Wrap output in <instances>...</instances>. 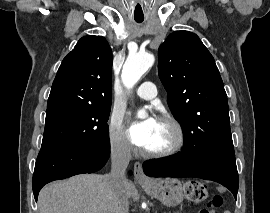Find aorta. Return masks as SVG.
<instances>
[{"label":"aorta","instance_id":"obj_1","mask_svg":"<svg viewBox=\"0 0 270 213\" xmlns=\"http://www.w3.org/2000/svg\"><path fill=\"white\" fill-rule=\"evenodd\" d=\"M154 55L148 52H138L129 55L122 69L121 78L127 88H132L139 79L154 64ZM138 116L144 118L145 111H139Z\"/></svg>","mask_w":270,"mask_h":213}]
</instances>
